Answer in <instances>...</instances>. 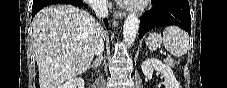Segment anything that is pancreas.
<instances>
[{"mask_svg":"<svg viewBox=\"0 0 227 88\" xmlns=\"http://www.w3.org/2000/svg\"><path fill=\"white\" fill-rule=\"evenodd\" d=\"M167 63H168L170 66H172V67L175 66V63H174V61H173L172 59H167Z\"/></svg>","mask_w":227,"mask_h":88,"instance_id":"cf45deb5","label":"pancreas"}]
</instances>
